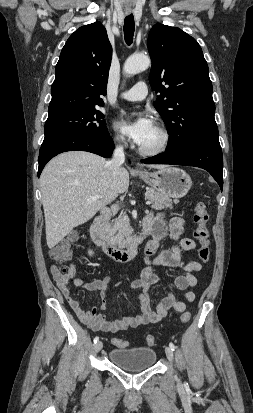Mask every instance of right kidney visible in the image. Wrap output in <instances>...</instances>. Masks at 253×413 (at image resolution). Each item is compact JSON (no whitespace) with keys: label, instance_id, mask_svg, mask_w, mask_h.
Returning <instances> with one entry per match:
<instances>
[{"label":"right kidney","instance_id":"1","mask_svg":"<svg viewBox=\"0 0 253 413\" xmlns=\"http://www.w3.org/2000/svg\"><path fill=\"white\" fill-rule=\"evenodd\" d=\"M93 254V252L92 251H89V255H92Z\"/></svg>","mask_w":253,"mask_h":413}]
</instances>
